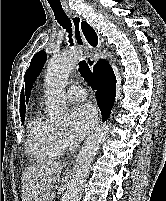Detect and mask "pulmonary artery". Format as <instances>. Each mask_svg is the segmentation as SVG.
<instances>
[{
  "label": "pulmonary artery",
  "mask_w": 166,
  "mask_h": 201,
  "mask_svg": "<svg viewBox=\"0 0 166 201\" xmlns=\"http://www.w3.org/2000/svg\"><path fill=\"white\" fill-rule=\"evenodd\" d=\"M66 97L71 102H81L86 98V90L82 86L73 85L67 90Z\"/></svg>",
  "instance_id": "obj_1"
}]
</instances>
